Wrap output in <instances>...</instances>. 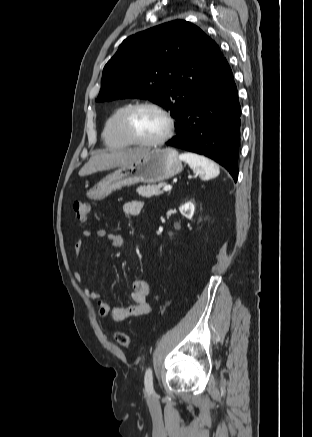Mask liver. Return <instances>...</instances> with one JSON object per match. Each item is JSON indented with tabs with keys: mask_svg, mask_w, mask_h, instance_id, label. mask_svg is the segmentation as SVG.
Instances as JSON below:
<instances>
[{
	"mask_svg": "<svg viewBox=\"0 0 312 437\" xmlns=\"http://www.w3.org/2000/svg\"><path fill=\"white\" fill-rule=\"evenodd\" d=\"M147 152L148 150L145 149H128L112 152L98 151L82 167L79 171V175L87 176L98 171L121 167L137 160Z\"/></svg>",
	"mask_w": 312,
	"mask_h": 437,
	"instance_id": "liver-1",
	"label": "liver"
}]
</instances>
